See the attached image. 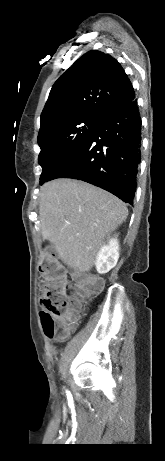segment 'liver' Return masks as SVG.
<instances>
[{
	"instance_id": "obj_1",
	"label": "liver",
	"mask_w": 165,
	"mask_h": 461,
	"mask_svg": "<svg viewBox=\"0 0 165 461\" xmlns=\"http://www.w3.org/2000/svg\"><path fill=\"white\" fill-rule=\"evenodd\" d=\"M126 205L91 184L57 179L40 194L42 237L70 267L88 272L107 234L127 218Z\"/></svg>"
}]
</instances>
